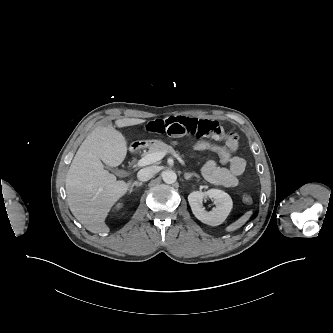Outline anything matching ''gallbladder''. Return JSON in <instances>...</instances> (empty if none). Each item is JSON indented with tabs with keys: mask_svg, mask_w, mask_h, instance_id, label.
<instances>
[{
	"mask_svg": "<svg viewBox=\"0 0 333 333\" xmlns=\"http://www.w3.org/2000/svg\"><path fill=\"white\" fill-rule=\"evenodd\" d=\"M111 172L120 175L121 174V170L118 168H113V167H107Z\"/></svg>",
	"mask_w": 333,
	"mask_h": 333,
	"instance_id": "bac80fb5",
	"label": "gallbladder"
}]
</instances>
